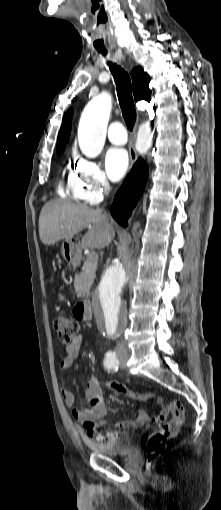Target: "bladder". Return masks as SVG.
I'll list each match as a JSON object with an SVG mask.
<instances>
[{"label":"bladder","instance_id":"bladder-1","mask_svg":"<svg viewBox=\"0 0 221 510\" xmlns=\"http://www.w3.org/2000/svg\"><path fill=\"white\" fill-rule=\"evenodd\" d=\"M136 445L135 434L126 433L118 439L110 442H89L88 447L94 452L107 457H118L130 453Z\"/></svg>","mask_w":221,"mask_h":510}]
</instances>
